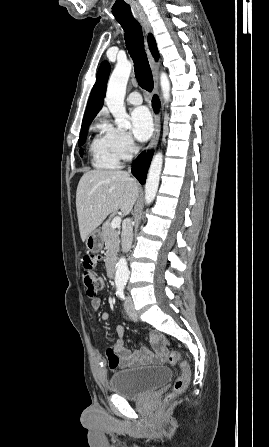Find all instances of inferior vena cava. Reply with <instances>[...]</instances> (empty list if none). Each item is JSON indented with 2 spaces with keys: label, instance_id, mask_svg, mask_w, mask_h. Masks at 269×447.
Masks as SVG:
<instances>
[{
  "label": "inferior vena cava",
  "instance_id": "602c4592",
  "mask_svg": "<svg viewBox=\"0 0 269 447\" xmlns=\"http://www.w3.org/2000/svg\"><path fill=\"white\" fill-rule=\"evenodd\" d=\"M133 241V225L131 220H128L122 227L121 233V245L122 251H129L131 243Z\"/></svg>",
  "mask_w": 269,
  "mask_h": 447
}]
</instances>
